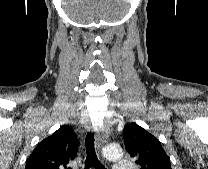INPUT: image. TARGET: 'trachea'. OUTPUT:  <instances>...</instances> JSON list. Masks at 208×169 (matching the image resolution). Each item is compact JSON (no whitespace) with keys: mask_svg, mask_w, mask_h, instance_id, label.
<instances>
[{"mask_svg":"<svg viewBox=\"0 0 208 169\" xmlns=\"http://www.w3.org/2000/svg\"><path fill=\"white\" fill-rule=\"evenodd\" d=\"M86 160L85 169L94 167L95 169H105L97 158L94 148V134L88 133L86 136Z\"/></svg>","mask_w":208,"mask_h":169,"instance_id":"trachea-1","label":"trachea"}]
</instances>
